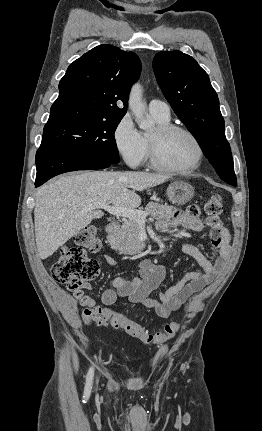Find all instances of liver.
I'll list each match as a JSON object with an SVG mask.
<instances>
[{
  "mask_svg": "<svg viewBox=\"0 0 262 431\" xmlns=\"http://www.w3.org/2000/svg\"><path fill=\"white\" fill-rule=\"evenodd\" d=\"M168 175L145 172L82 171L59 176L40 187L34 209L35 238L41 259L53 255L71 237L104 213L90 204L106 202L134 209L141 204L135 191L157 186Z\"/></svg>",
  "mask_w": 262,
  "mask_h": 431,
  "instance_id": "1",
  "label": "liver"
}]
</instances>
